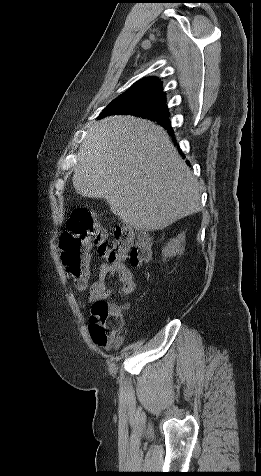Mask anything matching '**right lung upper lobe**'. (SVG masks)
<instances>
[{
    "instance_id": "obj_1",
    "label": "right lung upper lobe",
    "mask_w": 261,
    "mask_h": 476,
    "mask_svg": "<svg viewBox=\"0 0 261 476\" xmlns=\"http://www.w3.org/2000/svg\"><path fill=\"white\" fill-rule=\"evenodd\" d=\"M161 85L162 82L155 77L144 78L118 98L122 102L157 101L165 104V94L162 92Z\"/></svg>"
}]
</instances>
